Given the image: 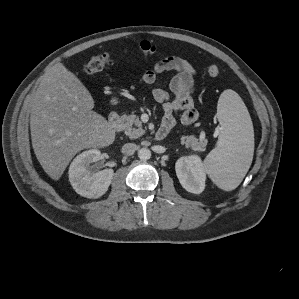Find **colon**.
I'll return each instance as SVG.
<instances>
[{
  "instance_id": "1",
  "label": "colon",
  "mask_w": 299,
  "mask_h": 299,
  "mask_svg": "<svg viewBox=\"0 0 299 299\" xmlns=\"http://www.w3.org/2000/svg\"><path fill=\"white\" fill-rule=\"evenodd\" d=\"M139 49L142 55L148 56L156 53V48L147 41L141 42ZM115 62L113 55L104 53L90 58L84 66V74L92 76L100 72L105 67L112 65ZM207 74L211 77H216L219 74V67L216 64H211L206 69Z\"/></svg>"
}]
</instances>
